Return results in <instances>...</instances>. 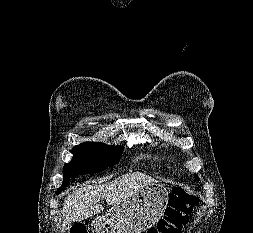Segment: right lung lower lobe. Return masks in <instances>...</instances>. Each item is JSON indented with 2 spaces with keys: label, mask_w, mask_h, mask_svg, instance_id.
I'll return each instance as SVG.
<instances>
[{
  "label": "right lung lower lobe",
  "mask_w": 253,
  "mask_h": 233,
  "mask_svg": "<svg viewBox=\"0 0 253 233\" xmlns=\"http://www.w3.org/2000/svg\"><path fill=\"white\" fill-rule=\"evenodd\" d=\"M68 181H69V180H68ZM68 181H66V182L63 183V185L58 189L57 194L61 193V192L64 190V188H65L66 185L68 184Z\"/></svg>",
  "instance_id": "right-lung-lower-lobe-1"
}]
</instances>
